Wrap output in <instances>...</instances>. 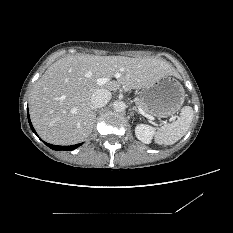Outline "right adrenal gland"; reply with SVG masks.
Segmentation results:
<instances>
[{
	"instance_id": "1",
	"label": "right adrenal gland",
	"mask_w": 233,
	"mask_h": 233,
	"mask_svg": "<svg viewBox=\"0 0 233 233\" xmlns=\"http://www.w3.org/2000/svg\"><path fill=\"white\" fill-rule=\"evenodd\" d=\"M96 111H97V109L94 110L95 115H96Z\"/></svg>"
}]
</instances>
